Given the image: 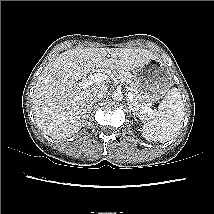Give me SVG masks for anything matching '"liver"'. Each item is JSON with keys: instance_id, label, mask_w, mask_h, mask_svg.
I'll return each mask as SVG.
<instances>
[{"instance_id": "1", "label": "liver", "mask_w": 214, "mask_h": 214, "mask_svg": "<svg viewBox=\"0 0 214 214\" xmlns=\"http://www.w3.org/2000/svg\"><path fill=\"white\" fill-rule=\"evenodd\" d=\"M154 58L142 48H75L61 53L46 65L34 89L32 110L38 127L53 139L71 137L89 118L92 89L104 84L81 88V78L95 67L134 71Z\"/></svg>"}]
</instances>
